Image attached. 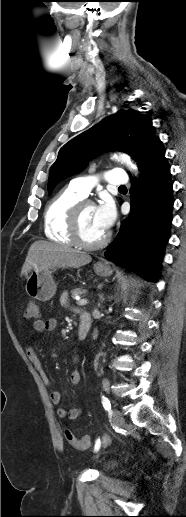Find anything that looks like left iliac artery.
Returning <instances> with one entry per match:
<instances>
[{
  "label": "left iliac artery",
  "instance_id": "44dca946",
  "mask_svg": "<svg viewBox=\"0 0 186 517\" xmlns=\"http://www.w3.org/2000/svg\"><path fill=\"white\" fill-rule=\"evenodd\" d=\"M102 404H103L104 409L106 411L110 412L111 404H110V401L108 400V398H106L105 396H102ZM100 446H101V441H100V439H97L95 442L94 450L98 451Z\"/></svg>",
  "mask_w": 186,
  "mask_h": 517
}]
</instances>
